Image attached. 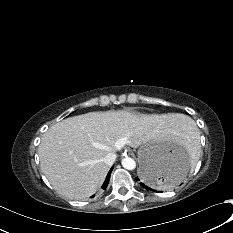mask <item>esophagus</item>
<instances>
[{"mask_svg": "<svg viewBox=\"0 0 233 233\" xmlns=\"http://www.w3.org/2000/svg\"><path fill=\"white\" fill-rule=\"evenodd\" d=\"M129 153H130L129 150H125L124 152L125 155H128Z\"/></svg>", "mask_w": 233, "mask_h": 233, "instance_id": "34e87169", "label": "esophagus"}]
</instances>
